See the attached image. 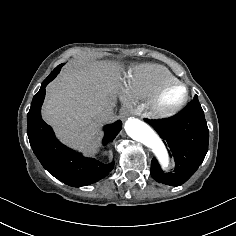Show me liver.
I'll list each match as a JSON object with an SVG mask.
<instances>
[{
  "label": "liver",
  "instance_id": "obj_1",
  "mask_svg": "<svg viewBox=\"0 0 236 236\" xmlns=\"http://www.w3.org/2000/svg\"><path fill=\"white\" fill-rule=\"evenodd\" d=\"M109 64H74L65 67L46 88L44 121L68 146L87 156L99 151L96 133L105 122L99 112L115 106V87Z\"/></svg>",
  "mask_w": 236,
  "mask_h": 236
}]
</instances>
